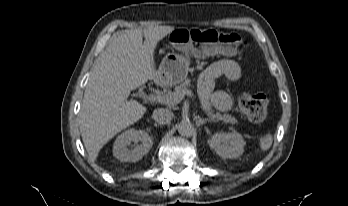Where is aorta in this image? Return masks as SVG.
Instances as JSON below:
<instances>
[{
    "label": "aorta",
    "instance_id": "obj_1",
    "mask_svg": "<svg viewBox=\"0 0 348 206\" xmlns=\"http://www.w3.org/2000/svg\"><path fill=\"white\" fill-rule=\"evenodd\" d=\"M193 131L194 127L189 120L184 119L178 124V132L182 136L190 137Z\"/></svg>",
    "mask_w": 348,
    "mask_h": 206
}]
</instances>
